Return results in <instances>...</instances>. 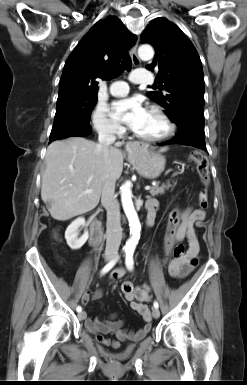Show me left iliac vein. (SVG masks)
<instances>
[{
    "label": "left iliac vein",
    "mask_w": 247,
    "mask_h": 385,
    "mask_svg": "<svg viewBox=\"0 0 247 385\" xmlns=\"http://www.w3.org/2000/svg\"><path fill=\"white\" fill-rule=\"evenodd\" d=\"M152 315H153V317H154L155 319L159 318V316H160V311L158 310V308H154V309L152 310Z\"/></svg>",
    "instance_id": "4c4485c4"
}]
</instances>
